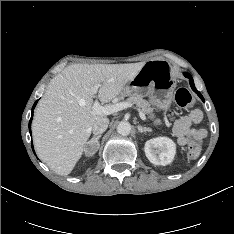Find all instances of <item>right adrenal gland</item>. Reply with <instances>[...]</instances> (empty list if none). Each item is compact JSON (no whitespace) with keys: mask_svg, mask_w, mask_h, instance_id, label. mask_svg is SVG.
Wrapping results in <instances>:
<instances>
[{"mask_svg":"<svg viewBox=\"0 0 234 234\" xmlns=\"http://www.w3.org/2000/svg\"><path fill=\"white\" fill-rule=\"evenodd\" d=\"M101 138V135H98V136H94L90 141H88L87 143H86V145H88V144H90V143H96V145H97V149L100 147V143H99V139ZM88 155V154H87Z\"/></svg>","mask_w":234,"mask_h":234,"instance_id":"right-adrenal-gland-1","label":"right adrenal gland"}]
</instances>
